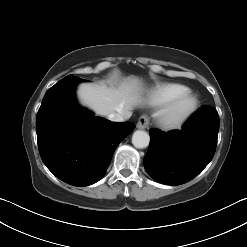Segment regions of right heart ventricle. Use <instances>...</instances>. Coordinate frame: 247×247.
Here are the masks:
<instances>
[{
	"instance_id": "right-heart-ventricle-1",
	"label": "right heart ventricle",
	"mask_w": 247,
	"mask_h": 247,
	"mask_svg": "<svg viewBox=\"0 0 247 247\" xmlns=\"http://www.w3.org/2000/svg\"><path fill=\"white\" fill-rule=\"evenodd\" d=\"M188 91L184 85L177 83L157 84L150 93V104L152 106H162L167 104L179 94Z\"/></svg>"
}]
</instances>
